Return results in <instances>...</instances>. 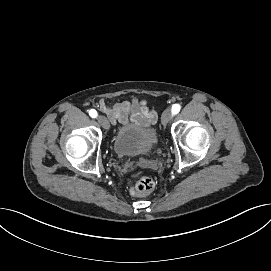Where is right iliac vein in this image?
I'll return each mask as SVG.
<instances>
[{
  "mask_svg": "<svg viewBox=\"0 0 271 271\" xmlns=\"http://www.w3.org/2000/svg\"><path fill=\"white\" fill-rule=\"evenodd\" d=\"M97 122L100 124V126H102L106 130H108L110 127L109 121L107 120L105 116H102V115L98 116Z\"/></svg>",
  "mask_w": 271,
  "mask_h": 271,
  "instance_id": "63e3f726",
  "label": "right iliac vein"
}]
</instances>
